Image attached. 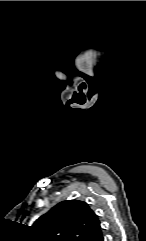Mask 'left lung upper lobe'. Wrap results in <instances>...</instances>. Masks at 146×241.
<instances>
[{
	"label": "left lung upper lobe",
	"instance_id": "left-lung-upper-lobe-1",
	"mask_svg": "<svg viewBox=\"0 0 146 241\" xmlns=\"http://www.w3.org/2000/svg\"><path fill=\"white\" fill-rule=\"evenodd\" d=\"M38 241H84L100 229V221L86 202L62 201L32 226Z\"/></svg>",
	"mask_w": 146,
	"mask_h": 241
}]
</instances>
